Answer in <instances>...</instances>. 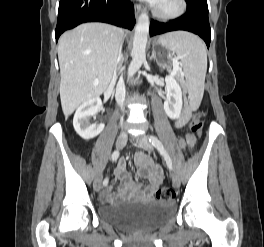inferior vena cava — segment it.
Instances as JSON below:
<instances>
[{"mask_svg":"<svg viewBox=\"0 0 264 247\" xmlns=\"http://www.w3.org/2000/svg\"><path fill=\"white\" fill-rule=\"evenodd\" d=\"M121 58H122V54H121V50H120L119 57H118L117 62H116V67H115V70H114L112 81H115L116 78H117V65L120 62ZM125 94H126V92H125L124 82L123 81H119L117 83V86H116L115 99H116L117 103L120 105L121 109H123V104H124V100H125Z\"/></svg>","mask_w":264,"mask_h":247,"instance_id":"obj_1","label":"inferior vena cava"}]
</instances>
